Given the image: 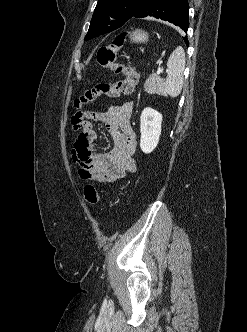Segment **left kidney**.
Instances as JSON below:
<instances>
[{
    "mask_svg": "<svg viewBox=\"0 0 247 332\" xmlns=\"http://www.w3.org/2000/svg\"><path fill=\"white\" fill-rule=\"evenodd\" d=\"M162 114L147 107L142 111L140 117V148L148 154L158 145L161 135Z\"/></svg>",
    "mask_w": 247,
    "mask_h": 332,
    "instance_id": "1",
    "label": "left kidney"
}]
</instances>
